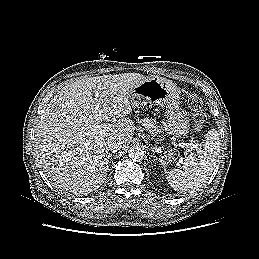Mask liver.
Listing matches in <instances>:
<instances>
[{"label": "liver", "mask_w": 259, "mask_h": 259, "mask_svg": "<svg viewBox=\"0 0 259 259\" xmlns=\"http://www.w3.org/2000/svg\"><path fill=\"white\" fill-rule=\"evenodd\" d=\"M145 79L139 73L83 78L52 98L34 143L42 170L54 185L88 194L104 183L111 158L108 142L121 141L123 148L130 144L136 129L127 117L133 108L130 93ZM111 120L107 131L98 130L102 121Z\"/></svg>", "instance_id": "liver-1"}]
</instances>
